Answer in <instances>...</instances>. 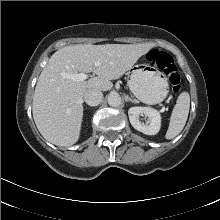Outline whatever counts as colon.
Returning <instances> with one entry per match:
<instances>
[{
  "label": "colon",
  "instance_id": "5ec220e1",
  "mask_svg": "<svg viewBox=\"0 0 220 220\" xmlns=\"http://www.w3.org/2000/svg\"><path fill=\"white\" fill-rule=\"evenodd\" d=\"M147 59L167 75L173 93H178L181 89V76L172 56L155 49L147 54Z\"/></svg>",
  "mask_w": 220,
  "mask_h": 220
}]
</instances>
